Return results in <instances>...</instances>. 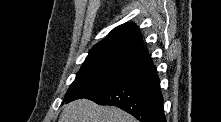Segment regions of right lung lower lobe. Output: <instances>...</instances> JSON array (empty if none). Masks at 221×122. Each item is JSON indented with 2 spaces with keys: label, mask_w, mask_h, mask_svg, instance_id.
I'll return each mask as SVG.
<instances>
[{
  "label": "right lung lower lobe",
  "mask_w": 221,
  "mask_h": 122,
  "mask_svg": "<svg viewBox=\"0 0 221 122\" xmlns=\"http://www.w3.org/2000/svg\"><path fill=\"white\" fill-rule=\"evenodd\" d=\"M159 83L155 66L148 55L121 80L85 98L100 105L117 106L140 122H166Z\"/></svg>",
  "instance_id": "obj_1"
}]
</instances>
